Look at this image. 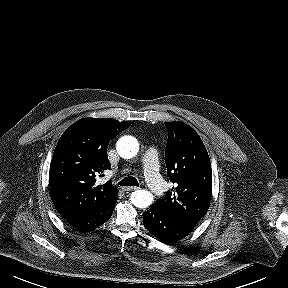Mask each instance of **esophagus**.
<instances>
[{"label": "esophagus", "instance_id": "obj_1", "mask_svg": "<svg viewBox=\"0 0 288 288\" xmlns=\"http://www.w3.org/2000/svg\"><path fill=\"white\" fill-rule=\"evenodd\" d=\"M137 189H138L137 187H123V190L127 191V192L134 191V190H137Z\"/></svg>", "mask_w": 288, "mask_h": 288}]
</instances>
